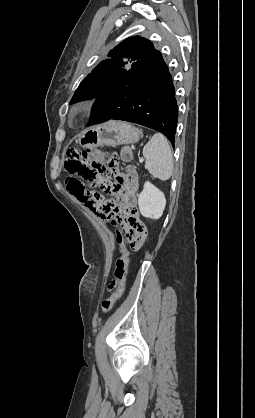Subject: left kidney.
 Listing matches in <instances>:
<instances>
[{"label": "left kidney", "mask_w": 255, "mask_h": 418, "mask_svg": "<svg viewBox=\"0 0 255 418\" xmlns=\"http://www.w3.org/2000/svg\"><path fill=\"white\" fill-rule=\"evenodd\" d=\"M138 205L142 216L159 219L166 206L165 195L157 187L147 181L138 196Z\"/></svg>", "instance_id": "obj_1"}]
</instances>
